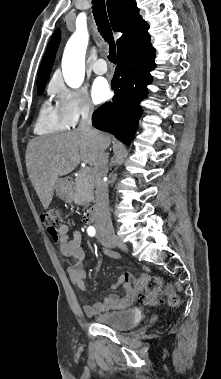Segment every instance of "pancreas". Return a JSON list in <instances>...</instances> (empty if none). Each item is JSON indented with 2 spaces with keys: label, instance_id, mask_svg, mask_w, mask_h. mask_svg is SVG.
Returning a JSON list of instances; mask_svg holds the SVG:
<instances>
[{
  "label": "pancreas",
  "instance_id": "obj_1",
  "mask_svg": "<svg viewBox=\"0 0 221 379\" xmlns=\"http://www.w3.org/2000/svg\"><path fill=\"white\" fill-rule=\"evenodd\" d=\"M94 184L92 175L87 173L82 175L79 172L74 183V193L73 197L76 201L80 202H91L94 200Z\"/></svg>",
  "mask_w": 221,
  "mask_h": 379
}]
</instances>
